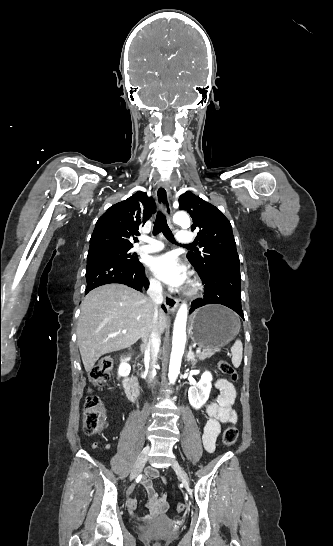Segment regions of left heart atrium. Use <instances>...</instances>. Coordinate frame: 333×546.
<instances>
[{
	"label": "left heart atrium",
	"mask_w": 333,
	"mask_h": 546,
	"mask_svg": "<svg viewBox=\"0 0 333 546\" xmlns=\"http://www.w3.org/2000/svg\"><path fill=\"white\" fill-rule=\"evenodd\" d=\"M150 268L160 280L173 287H180L187 279L186 270L171 253L152 258Z\"/></svg>",
	"instance_id": "obj_1"
}]
</instances>
